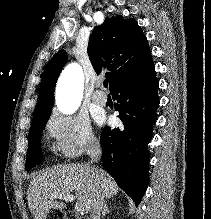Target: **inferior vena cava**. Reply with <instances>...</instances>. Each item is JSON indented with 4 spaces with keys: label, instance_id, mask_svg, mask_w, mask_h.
<instances>
[{
    "label": "inferior vena cava",
    "instance_id": "602c4592",
    "mask_svg": "<svg viewBox=\"0 0 211 219\" xmlns=\"http://www.w3.org/2000/svg\"><path fill=\"white\" fill-rule=\"evenodd\" d=\"M87 154L91 158V163L98 162V160L102 155V150L97 140H92L90 142V146ZM103 207H104V196L101 192H97L91 205L90 219H100L101 211Z\"/></svg>",
    "mask_w": 211,
    "mask_h": 219
}]
</instances>
